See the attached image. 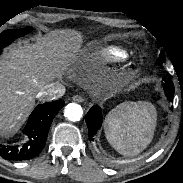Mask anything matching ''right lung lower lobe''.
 Listing matches in <instances>:
<instances>
[{
    "mask_svg": "<svg viewBox=\"0 0 183 183\" xmlns=\"http://www.w3.org/2000/svg\"><path fill=\"white\" fill-rule=\"evenodd\" d=\"M63 106V100L37 105L23 130L29 141L22 146L0 144V156L8 160H27L37 156L46 143L52 120Z\"/></svg>",
    "mask_w": 183,
    "mask_h": 183,
    "instance_id": "obj_1",
    "label": "right lung lower lobe"
}]
</instances>
